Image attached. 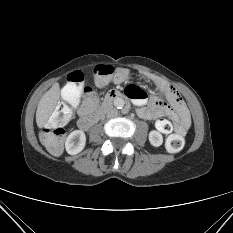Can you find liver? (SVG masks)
I'll return each mask as SVG.
<instances>
[{"mask_svg": "<svg viewBox=\"0 0 233 233\" xmlns=\"http://www.w3.org/2000/svg\"><path fill=\"white\" fill-rule=\"evenodd\" d=\"M60 97L59 83H54L52 87L41 97L36 110V123L39 128H43L53 113Z\"/></svg>", "mask_w": 233, "mask_h": 233, "instance_id": "6515ba94", "label": "liver"}]
</instances>
